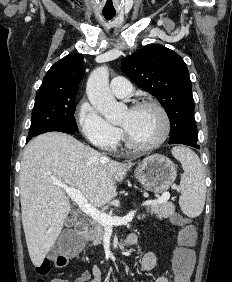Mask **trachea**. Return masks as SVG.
Listing matches in <instances>:
<instances>
[{
	"instance_id": "obj_1",
	"label": "trachea",
	"mask_w": 232,
	"mask_h": 282,
	"mask_svg": "<svg viewBox=\"0 0 232 282\" xmlns=\"http://www.w3.org/2000/svg\"><path fill=\"white\" fill-rule=\"evenodd\" d=\"M103 16L106 20H111L115 16V13H103Z\"/></svg>"
}]
</instances>
